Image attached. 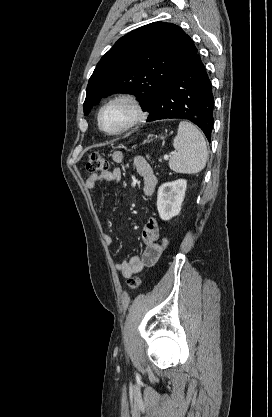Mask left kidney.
<instances>
[{
    "mask_svg": "<svg viewBox=\"0 0 272 417\" xmlns=\"http://www.w3.org/2000/svg\"><path fill=\"white\" fill-rule=\"evenodd\" d=\"M187 181L179 179L163 183L157 193V210L162 220H170L180 213Z\"/></svg>",
    "mask_w": 272,
    "mask_h": 417,
    "instance_id": "1",
    "label": "left kidney"
}]
</instances>
